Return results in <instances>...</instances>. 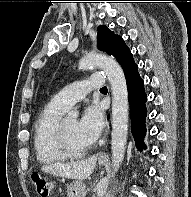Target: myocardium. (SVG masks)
Here are the masks:
<instances>
[{
  "mask_svg": "<svg viewBox=\"0 0 191 197\" xmlns=\"http://www.w3.org/2000/svg\"><path fill=\"white\" fill-rule=\"evenodd\" d=\"M56 140H57V144L61 152L67 158H80L84 156L90 148L89 146H87L85 148L76 150L70 146L68 139H67L65 127H64V121H60L57 126Z\"/></svg>",
  "mask_w": 191,
  "mask_h": 197,
  "instance_id": "myocardium-1",
  "label": "myocardium"
}]
</instances>
